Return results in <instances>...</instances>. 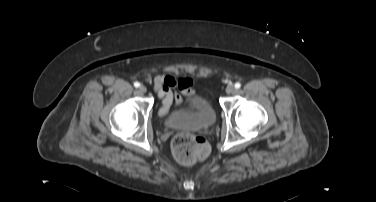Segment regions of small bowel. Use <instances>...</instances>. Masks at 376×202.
<instances>
[{
    "mask_svg": "<svg viewBox=\"0 0 376 202\" xmlns=\"http://www.w3.org/2000/svg\"><path fill=\"white\" fill-rule=\"evenodd\" d=\"M194 82L191 78H175L171 75H158L154 78V90L158 100L161 102L159 115L168 113L173 103L178 108L183 103V97L194 95Z\"/></svg>",
    "mask_w": 376,
    "mask_h": 202,
    "instance_id": "small-bowel-1",
    "label": "small bowel"
}]
</instances>
